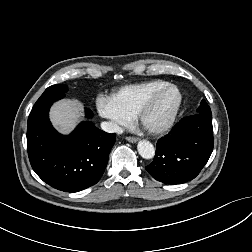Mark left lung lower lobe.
Masks as SVG:
<instances>
[{"label":"left lung lower lobe","mask_w":252,"mask_h":252,"mask_svg":"<svg viewBox=\"0 0 252 252\" xmlns=\"http://www.w3.org/2000/svg\"><path fill=\"white\" fill-rule=\"evenodd\" d=\"M212 150V115L187 116L157 142L156 155L146 170L160 182L185 183L199 174Z\"/></svg>","instance_id":"obj_1"}]
</instances>
